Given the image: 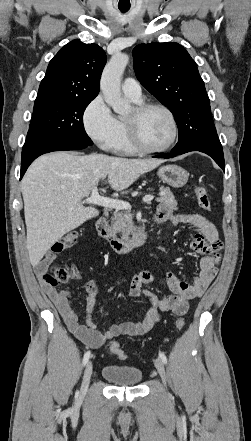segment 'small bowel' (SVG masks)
Returning <instances> with one entry per match:
<instances>
[{"label":"small bowel","mask_w":251,"mask_h":441,"mask_svg":"<svg viewBox=\"0 0 251 441\" xmlns=\"http://www.w3.org/2000/svg\"><path fill=\"white\" fill-rule=\"evenodd\" d=\"M155 221L157 223L170 221L173 225L186 224L192 227L196 233L191 241V247L203 256L200 260V271L191 283L179 279L171 271L162 277H157L153 272L145 270L132 277L128 288L129 296L136 298L143 294L149 301V308L141 321L114 324L107 331L101 332L94 321L98 293L95 281L87 282L85 287L86 293L83 299L86 307L83 319L78 317L72 307L71 295L68 291L58 290L55 285L41 283L43 292L55 304L69 330L86 346L98 349L107 340L117 336L144 335L159 321L161 312L170 311L178 316L184 315L188 311L189 301L201 297L215 278L221 243L215 226L207 218L199 214L174 215L167 207L160 206L155 214ZM54 257V254H48L35 265L38 276L47 271ZM70 270L75 277H79L75 265H72ZM154 281H158L167 290V294L162 298L152 290L142 291L144 285Z\"/></svg>","instance_id":"1"}]
</instances>
